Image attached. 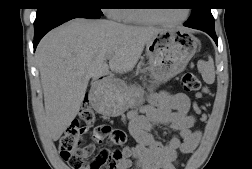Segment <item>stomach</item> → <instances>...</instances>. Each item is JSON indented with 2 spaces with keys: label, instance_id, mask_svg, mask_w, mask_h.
Masks as SVG:
<instances>
[{
  "label": "stomach",
  "instance_id": "0dacf381",
  "mask_svg": "<svg viewBox=\"0 0 252 169\" xmlns=\"http://www.w3.org/2000/svg\"><path fill=\"white\" fill-rule=\"evenodd\" d=\"M198 41L182 28H166L146 43L148 70L156 84L181 73L194 56ZM145 92L137 85L113 82L98 87L94 100L100 112L119 116L141 106Z\"/></svg>",
  "mask_w": 252,
  "mask_h": 169
}]
</instances>
